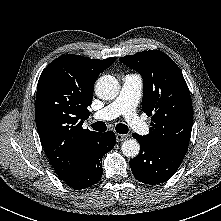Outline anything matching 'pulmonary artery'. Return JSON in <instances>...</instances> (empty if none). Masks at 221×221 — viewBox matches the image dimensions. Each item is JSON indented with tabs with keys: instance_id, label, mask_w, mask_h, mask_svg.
Returning <instances> with one entry per match:
<instances>
[{
	"instance_id": "e3ab8cb5",
	"label": "pulmonary artery",
	"mask_w": 221,
	"mask_h": 221,
	"mask_svg": "<svg viewBox=\"0 0 221 221\" xmlns=\"http://www.w3.org/2000/svg\"><path fill=\"white\" fill-rule=\"evenodd\" d=\"M143 89L142 77L136 73L126 74L115 100L99 110L93 120H111L123 115L129 126L140 135L149 133V126L136 113Z\"/></svg>"
}]
</instances>
